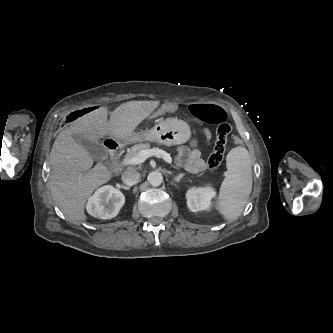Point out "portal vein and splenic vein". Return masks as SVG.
<instances>
[{"mask_svg":"<svg viewBox=\"0 0 333 333\" xmlns=\"http://www.w3.org/2000/svg\"><path fill=\"white\" fill-rule=\"evenodd\" d=\"M151 156L163 158L167 163H172V158L167 152L158 148H152L140 151L135 157L123 159L121 165H138Z\"/></svg>","mask_w":333,"mask_h":333,"instance_id":"obj_1","label":"portal vein and splenic vein"}]
</instances>
